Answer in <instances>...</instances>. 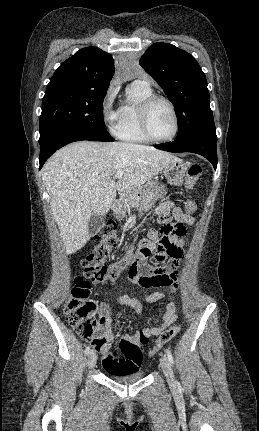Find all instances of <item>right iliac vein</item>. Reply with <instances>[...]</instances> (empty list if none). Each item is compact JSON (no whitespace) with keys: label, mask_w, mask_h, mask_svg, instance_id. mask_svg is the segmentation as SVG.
<instances>
[{"label":"right iliac vein","mask_w":259,"mask_h":431,"mask_svg":"<svg viewBox=\"0 0 259 431\" xmlns=\"http://www.w3.org/2000/svg\"><path fill=\"white\" fill-rule=\"evenodd\" d=\"M97 355L94 351H91L88 355V367L93 369L96 365Z\"/></svg>","instance_id":"63e3f726"}]
</instances>
